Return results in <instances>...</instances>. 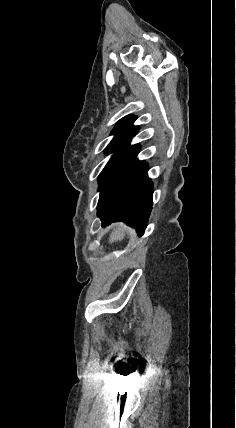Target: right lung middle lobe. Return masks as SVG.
<instances>
[{"label": "right lung middle lobe", "mask_w": 236, "mask_h": 428, "mask_svg": "<svg viewBox=\"0 0 236 428\" xmlns=\"http://www.w3.org/2000/svg\"><path fill=\"white\" fill-rule=\"evenodd\" d=\"M115 150L116 153L112 156L98 178L100 199L122 180L137 162L136 156L139 153V147L137 145L107 150L106 153L108 154Z\"/></svg>", "instance_id": "right-lung-middle-lobe-1"}]
</instances>
